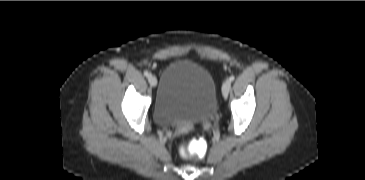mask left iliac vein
<instances>
[{
  "label": "left iliac vein",
  "mask_w": 365,
  "mask_h": 180,
  "mask_svg": "<svg viewBox=\"0 0 365 180\" xmlns=\"http://www.w3.org/2000/svg\"><path fill=\"white\" fill-rule=\"evenodd\" d=\"M231 89V81L226 80L222 85V94L226 98L230 92Z\"/></svg>",
  "instance_id": "4c4485c4"
}]
</instances>
